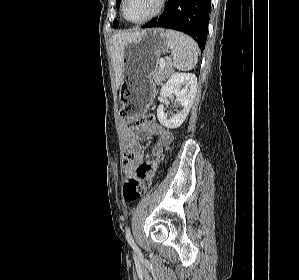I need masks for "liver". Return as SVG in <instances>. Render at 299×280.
I'll return each instance as SVG.
<instances>
[{
    "instance_id": "1",
    "label": "liver",
    "mask_w": 299,
    "mask_h": 280,
    "mask_svg": "<svg viewBox=\"0 0 299 280\" xmlns=\"http://www.w3.org/2000/svg\"><path fill=\"white\" fill-rule=\"evenodd\" d=\"M140 31L136 32H118L115 33L110 41V50L112 56L113 67L115 71V84L116 89H118L122 83V73H123V59L125 46L136 39Z\"/></svg>"
}]
</instances>
